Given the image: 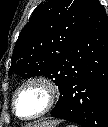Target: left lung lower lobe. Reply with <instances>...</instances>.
I'll return each mask as SVG.
<instances>
[{"mask_svg": "<svg viewBox=\"0 0 108 127\" xmlns=\"http://www.w3.org/2000/svg\"><path fill=\"white\" fill-rule=\"evenodd\" d=\"M63 70L61 97L51 115L108 127V18L98 0H89Z\"/></svg>", "mask_w": 108, "mask_h": 127, "instance_id": "0a47b994", "label": "left lung lower lobe"}]
</instances>
